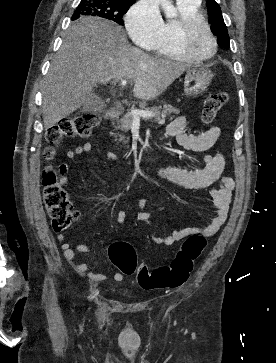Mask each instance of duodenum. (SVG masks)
<instances>
[{
	"mask_svg": "<svg viewBox=\"0 0 276 363\" xmlns=\"http://www.w3.org/2000/svg\"><path fill=\"white\" fill-rule=\"evenodd\" d=\"M120 114H121L120 110L116 107H111L106 111V117L109 119L116 118L120 116Z\"/></svg>",
	"mask_w": 276,
	"mask_h": 363,
	"instance_id": "duodenum-1",
	"label": "duodenum"
}]
</instances>
